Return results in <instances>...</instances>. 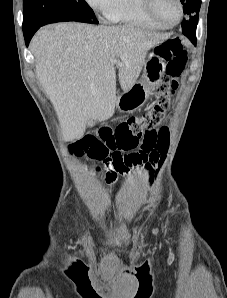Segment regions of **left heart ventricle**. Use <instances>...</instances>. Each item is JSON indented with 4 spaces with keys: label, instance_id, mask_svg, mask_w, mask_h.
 <instances>
[{
    "label": "left heart ventricle",
    "instance_id": "left-heart-ventricle-1",
    "mask_svg": "<svg viewBox=\"0 0 227 298\" xmlns=\"http://www.w3.org/2000/svg\"><path fill=\"white\" fill-rule=\"evenodd\" d=\"M156 14L166 23H174L179 17V6L176 0H156Z\"/></svg>",
    "mask_w": 227,
    "mask_h": 298
}]
</instances>
